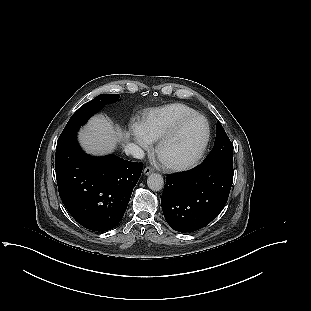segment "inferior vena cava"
Returning <instances> with one entry per match:
<instances>
[{
    "instance_id": "1",
    "label": "inferior vena cava",
    "mask_w": 311,
    "mask_h": 311,
    "mask_svg": "<svg viewBox=\"0 0 311 311\" xmlns=\"http://www.w3.org/2000/svg\"><path fill=\"white\" fill-rule=\"evenodd\" d=\"M124 151L126 155H131L136 159H143L144 158V151L137 145L133 143H127L125 145Z\"/></svg>"
}]
</instances>
